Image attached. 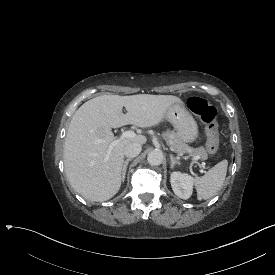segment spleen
Returning <instances> with one entry per match:
<instances>
[{
  "label": "spleen",
  "instance_id": "obj_1",
  "mask_svg": "<svg viewBox=\"0 0 275 275\" xmlns=\"http://www.w3.org/2000/svg\"><path fill=\"white\" fill-rule=\"evenodd\" d=\"M228 161L223 160L212 167L202 177H196L194 183L198 200L209 199L215 196L224 184Z\"/></svg>",
  "mask_w": 275,
  "mask_h": 275
}]
</instances>
